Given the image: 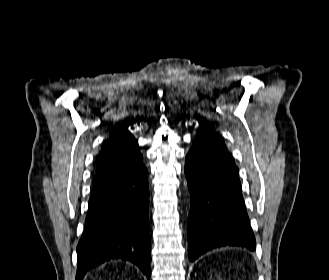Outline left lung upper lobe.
<instances>
[{"label": "left lung upper lobe", "instance_id": "obj_1", "mask_svg": "<svg viewBox=\"0 0 329 280\" xmlns=\"http://www.w3.org/2000/svg\"><path fill=\"white\" fill-rule=\"evenodd\" d=\"M199 123L193 146L186 155V162L195 169L210 174L218 167V157L229 154L220 136L207 124Z\"/></svg>", "mask_w": 329, "mask_h": 280}]
</instances>
